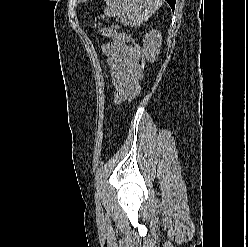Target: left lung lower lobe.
<instances>
[{
	"label": "left lung lower lobe",
	"mask_w": 248,
	"mask_h": 247,
	"mask_svg": "<svg viewBox=\"0 0 248 247\" xmlns=\"http://www.w3.org/2000/svg\"><path fill=\"white\" fill-rule=\"evenodd\" d=\"M166 1H167V2L169 3V5L171 6L172 10H174L176 0H166Z\"/></svg>",
	"instance_id": "left-lung-lower-lobe-1"
}]
</instances>
